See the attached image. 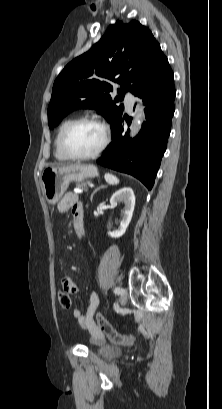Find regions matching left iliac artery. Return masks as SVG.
<instances>
[{
  "mask_svg": "<svg viewBox=\"0 0 222 409\" xmlns=\"http://www.w3.org/2000/svg\"><path fill=\"white\" fill-rule=\"evenodd\" d=\"M115 294H121V288L120 287H116L114 289Z\"/></svg>",
  "mask_w": 222,
  "mask_h": 409,
  "instance_id": "44dca946",
  "label": "left iliac artery"
}]
</instances>
